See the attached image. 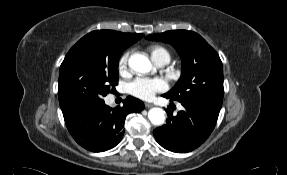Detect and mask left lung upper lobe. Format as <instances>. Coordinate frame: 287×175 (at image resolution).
<instances>
[{
    "instance_id": "obj_1",
    "label": "left lung upper lobe",
    "mask_w": 287,
    "mask_h": 175,
    "mask_svg": "<svg viewBox=\"0 0 287 175\" xmlns=\"http://www.w3.org/2000/svg\"><path fill=\"white\" fill-rule=\"evenodd\" d=\"M146 39L171 44L182 59V75L165 95L172 101L200 106L218 117L224 87L223 66L217 52L193 31H167Z\"/></svg>"
}]
</instances>
